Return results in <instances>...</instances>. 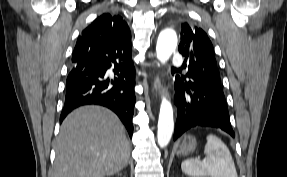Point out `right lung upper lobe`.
<instances>
[{"mask_svg": "<svg viewBox=\"0 0 287 177\" xmlns=\"http://www.w3.org/2000/svg\"><path fill=\"white\" fill-rule=\"evenodd\" d=\"M117 40L131 43L127 23L120 16L102 14L82 31L72 55V62L75 64L83 60L92 44L110 43Z\"/></svg>", "mask_w": 287, "mask_h": 177, "instance_id": "1", "label": "right lung upper lobe"}]
</instances>
